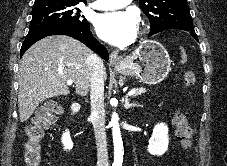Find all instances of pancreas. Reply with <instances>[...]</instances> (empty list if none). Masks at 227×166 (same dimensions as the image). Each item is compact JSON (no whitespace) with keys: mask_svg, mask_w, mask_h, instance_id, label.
Masks as SVG:
<instances>
[{"mask_svg":"<svg viewBox=\"0 0 227 166\" xmlns=\"http://www.w3.org/2000/svg\"><path fill=\"white\" fill-rule=\"evenodd\" d=\"M136 93L134 94V96H138V95H141L142 93H145L146 92V89L141 87V88H135L133 89Z\"/></svg>","mask_w":227,"mask_h":166,"instance_id":"obj_1","label":"pancreas"}]
</instances>
